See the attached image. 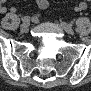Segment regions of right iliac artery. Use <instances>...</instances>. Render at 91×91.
Listing matches in <instances>:
<instances>
[{"instance_id":"1","label":"right iliac artery","mask_w":91,"mask_h":91,"mask_svg":"<svg viewBox=\"0 0 91 91\" xmlns=\"http://www.w3.org/2000/svg\"><path fill=\"white\" fill-rule=\"evenodd\" d=\"M22 21L23 22H29L30 21V18L26 16V17L22 18Z\"/></svg>"}]
</instances>
